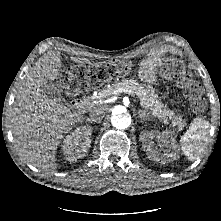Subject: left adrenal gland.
I'll use <instances>...</instances> for the list:
<instances>
[{"label":"left adrenal gland","mask_w":221,"mask_h":221,"mask_svg":"<svg viewBox=\"0 0 221 221\" xmlns=\"http://www.w3.org/2000/svg\"><path fill=\"white\" fill-rule=\"evenodd\" d=\"M139 117H140L141 122L146 121V120L149 119V116L146 115L144 112H139Z\"/></svg>","instance_id":"a2214340"}]
</instances>
